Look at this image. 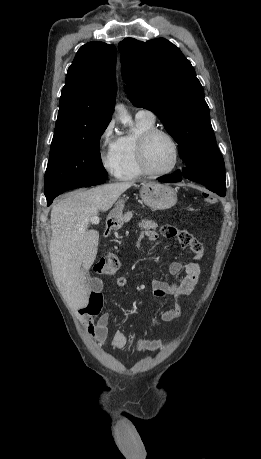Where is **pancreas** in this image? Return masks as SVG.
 <instances>
[{"label":"pancreas","mask_w":261,"mask_h":459,"mask_svg":"<svg viewBox=\"0 0 261 459\" xmlns=\"http://www.w3.org/2000/svg\"><path fill=\"white\" fill-rule=\"evenodd\" d=\"M139 227L145 230H155L158 225L156 222H153L151 220H142V222L139 223Z\"/></svg>","instance_id":"1"}]
</instances>
